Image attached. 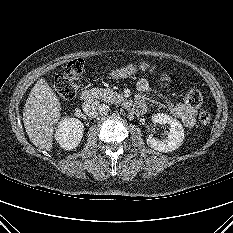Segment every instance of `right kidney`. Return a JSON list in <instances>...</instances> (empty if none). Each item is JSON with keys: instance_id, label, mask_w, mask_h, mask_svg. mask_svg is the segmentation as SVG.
Wrapping results in <instances>:
<instances>
[{"instance_id": "right-kidney-1", "label": "right kidney", "mask_w": 233, "mask_h": 233, "mask_svg": "<svg viewBox=\"0 0 233 233\" xmlns=\"http://www.w3.org/2000/svg\"><path fill=\"white\" fill-rule=\"evenodd\" d=\"M83 132L84 125L80 120L65 117L58 124L55 139L63 149L72 150L79 145Z\"/></svg>"}]
</instances>
